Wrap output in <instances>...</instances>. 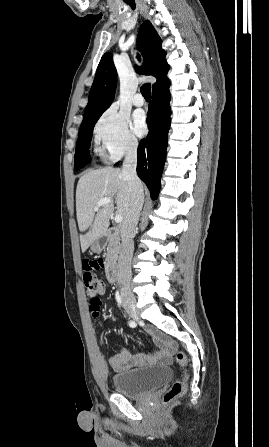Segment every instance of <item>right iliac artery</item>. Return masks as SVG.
Returning <instances> with one entry per match:
<instances>
[{"label": "right iliac artery", "mask_w": 269, "mask_h": 447, "mask_svg": "<svg viewBox=\"0 0 269 447\" xmlns=\"http://www.w3.org/2000/svg\"><path fill=\"white\" fill-rule=\"evenodd\" d=\"M116 299H117V302H118V303H119V305H120V304H121V298H120V296H119V293H118V292L116 293ZM129 325H130L131 327H134V326H135V322H133V321H130Z\"/></svg>", "instance_id": "right-iliac-artery-1"}]
</instances>
